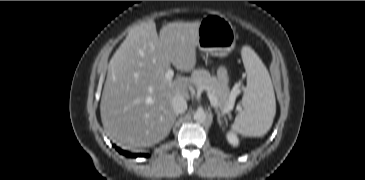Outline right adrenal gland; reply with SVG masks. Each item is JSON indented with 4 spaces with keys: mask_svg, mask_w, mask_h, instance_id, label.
<instances>
[{
    "mask_svg": "<svg viewBox=\"0 0 365 180\" xmlns=\"http://www.w3.org/2000/svg\"><path fill=\"white\" fill-rule=\"evenodd\" d=\"M177 117H178V114H176V115H175V118H174V122H173V124L175 123V121H176ZM172 126H173V125H172Z\"/></svg>",
    "mask_w": 365,
    "mask_h": 180,
    "instance_id": "1",
    "label": "right adrenal gland"
}]
</instances>
